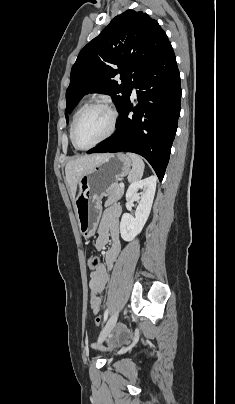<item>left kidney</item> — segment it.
Returning a JSON list of instances; mask_svg holds the SVG:
<instances>
[{"label": "left kidney", "mask_w": 235, "mask_h": 404, "mask_svg": "<svg viewBox=\"0 0 235 404\" xmlns=\"http://www.w3.org/2000/svg\"><path fill=\"white\" fill-rule=\"evenodd\" d=\"M157 178L150 176L146 179L135 181L130 184L126 192L127 199L139 201L136 208L135 217L129 213H124L120 222V233L124 241H132L143 229L153 203L156 191ZM143 189L141 196L137 193Z\"/></svg>", "instance_id": "obj_1"}]
</instances>
